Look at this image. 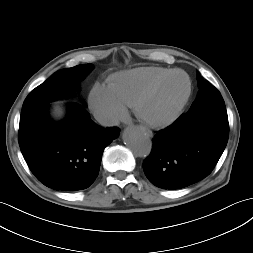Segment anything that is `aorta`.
Wrapping results in <instances>:
<instances>
[{"label": "aorta", "instance_id": "762f6f07", "mask_svg": "<svg viewBox=\"0 0 253 253\" xmlns=\"http://www.w3.org/2000/svg\"><path fill=\"white\" fill-rule=\"evenodd\" d=\"M125 145L137 156L146 157L152 150L150 137L137 127L127 128L123 134Z\"/></svg>", "mask_w": 253, "mask_h": 253}]
</instances>
